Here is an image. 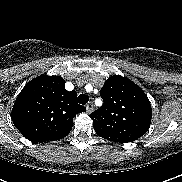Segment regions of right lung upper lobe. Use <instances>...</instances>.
<instances>
[{"mask_svg":"<svg viewBox=\"0 0 182 182\" xmlns=\"http://www.w3.org/2000/svg\"><path fill=\"white\" fill-rule=\"evenodd\" d=\"M85 111L76 102V92L65 89L63 78L40 75L19 93L11 119L26 139L41 143L66 137L73 118Z\"/></svg>","mask_w":182,"mask_h":182,"instance_id":"cb5924a9","label":"right lung upper lobe"}]
</instances>
